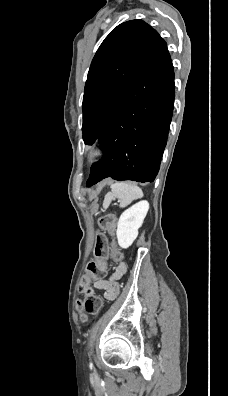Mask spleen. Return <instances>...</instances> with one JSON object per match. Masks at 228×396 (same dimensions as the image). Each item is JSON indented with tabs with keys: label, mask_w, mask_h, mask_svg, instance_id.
Wrapping results in <instances>:
<instances>
[{
	"label": "spleen",
	"mask_w": 228,
	"mask_h": 396,
	"mask_svg": "<svg viewBox=\"0 0 228 396\" xmlns=\"http://www.w3.org/2000/svg\"><path fill=\"white\" fill-rule=\"evenodd\" d=\"M142 196L143 192L137 185L126 182H116L111 185V192L105 196L103 207L108 208L111 201L117 198L119 199L120 207L125 208Z\"/></svg>",
	"instance_id": "spleen-1"
}]
</instances>
